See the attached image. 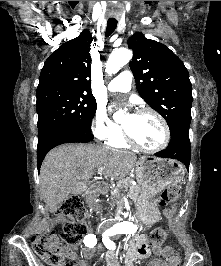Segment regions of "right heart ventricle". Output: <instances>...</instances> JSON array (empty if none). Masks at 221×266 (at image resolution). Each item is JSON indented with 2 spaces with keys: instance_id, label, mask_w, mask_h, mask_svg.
Here are the masks:
<instances>
[{
  "instance_id": "e07e8e85",
  "label": "right heart ventricle",
  "mask_w": 221,
  "mask_h": 266,
  "mask_svg": "<svg viewBox=\"0 0 221 266\" xmlns=\"http://www.w3.org/2000/svg\"><path fill=\"white\" fill-rule=\"evenodd\" d=\"M108 144L111 147L120 148V149H125V148L129 147L126 140L124 139V136L122 135V133L120 135H118L117 137L109 140Z\"/></svg>"
}]
</instances>
